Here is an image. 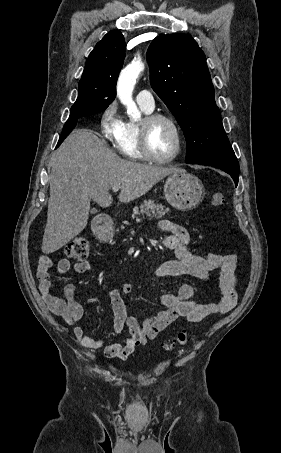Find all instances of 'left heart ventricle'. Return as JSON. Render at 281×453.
Here are the masks:
<instances>
[{
  "label": "left heart ventricle",
  "mask_w": 281,
  "mask_h": 453,
  "mask_svg": "<svg viewBox=\"0 0 281 453\" xmlns=\"http://www.w3.org/2000/svg\"><path fill=\"white\" fill-rule=\"evenodd\" d=\"M175 135L165 122H159L151 132V146L156 156L165 158L173 151Z\"/></svg>",
  "instance_id": "b2bd125f"
}]
</instances>
